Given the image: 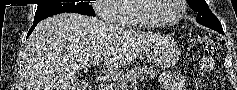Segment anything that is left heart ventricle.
<instances>
[{
  "label": "left heart ventricle",
  "mask_w": 237,
  "mask_h": 90,
  "mask_svg": "<svg viewBox=\"0 0 237 90\" xmlns=\"http://www.w3.org/2000/svg\"><path fill=\"white\" fill-rule=\"evenodd\" d=\"M177 0L140 1L141 13L151 21H172L177 14Z\"/></svg>",
  "instance_id": "left-heart-ventricle-1"
}]
</instances>
